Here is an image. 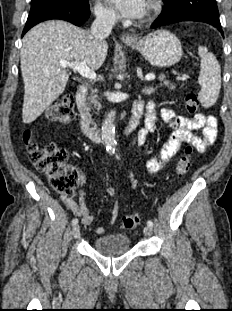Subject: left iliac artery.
Segmentation results:
<instances>
[{"mask_svg": "<svg viewBox=\"0 0 232 311\" xmlns=\"http://www.w3.org/2000/svg\"><path fill=\"white\" fill-rule=\"evenodd\" d=\"M147 225L153 227V222L151 220H148Z\"/></svg>", "mask_w": 232, "mask_h": 311, "instance_id": "left-iliac-artery-1", "label": "left iliac artery"}]
</instances>
